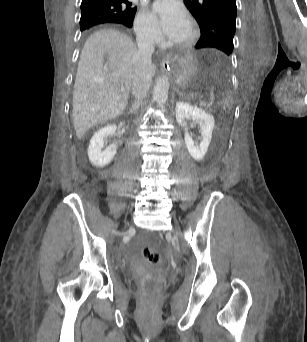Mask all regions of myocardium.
Segmentation results:
<instances>
[{"instance_id":"myocardium-1","label":"myocardium","mask_w":307,"mask_h":342,"mask_svg":"<svg viewBox=\"0 0 307 342\" xmlns=\"http://www.w3.org/2000/svg\"><path fill=\"white\" fill-rule=\"evenodd\" d=\"M195 39H196V34L192 29H190L189 34L187 36V39L184 42V44H182L181 47L183 49H187V48L191 47L194 44Z\"/></svg>"}]
</instances>
